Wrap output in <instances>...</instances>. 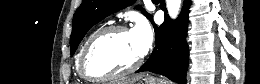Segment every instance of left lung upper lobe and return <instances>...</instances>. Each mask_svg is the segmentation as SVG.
<instances>
[{
    "instance_id": "left-lung-upper-lobe-1",
    "label": "left lung upper lobe",
    "mask_w": 260,
    "mask_h": 84,
    "mask_svg": "<svg viewBox=\"0 0 260 84\" xmlns=\"http://www.w3.org/2000/svg\"><path fill=\"white\" fill-rule=\"evenodd\" d=\"M136 0H83L73 16V29L70 37L71 55L76 51L88 30L106 16L133 4ZM152 20V17L142 10Z\"/></svg>"
}]
</instances>
